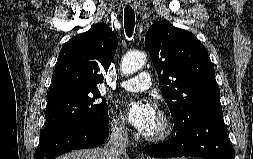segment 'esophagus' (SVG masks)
Masks as SVG:
<instances>
[{"mask_svg": "<svg viewBox=\"0 0 253 159\" xmlns=\"http://www.w3.org/2000/svg\"><path fill=\"white\" fill-rule=\"evenodd\" d=\"M128 3L132 6L133 9H137L138 7V1L137 0H128ZM140 159H145L143 155L139 156Z\"/></svg>", "mask_w": 253, "mask_h": 159, "instance_id": "obj_1", "label": "esophagus"}]
</instances>
